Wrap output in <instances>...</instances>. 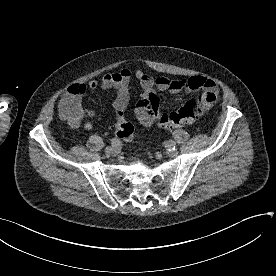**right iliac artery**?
Segmentation results:
<instances>
[{"label":"right iliac artery","instance_id":"right-iliac-artery-1","mask_svg":"<svg viewBox=\"0 0 276 276\" xmlns=\"http://www.w3.org/2000/svg\"><path fill=\"white\" fill-rule=\"evenodd\" d=\"M112 146H120L121 144H120V141L119 140H117V139H112Z\"/></svg>","mask_w":276,"mask_h":276}]
</instances>
